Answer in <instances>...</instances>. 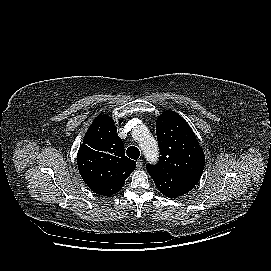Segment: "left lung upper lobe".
<instances>
[{
  "label": "left lung upper lobe",
  "instance_id": "obj_1",
  "mask_svg": "<svg viewBox=\"0 0 271 271\" xmlns=\"http://www.w3.org/2000/svg\"><path fill=\"white\" fill-rule=\"evenodd\" d=\"M156 133L161 156L156 165L146 168L159 191L172 198L177 179L197 184L205 156L192 129L175 111H164L158 117Z\"/></svg>",
  "mask_w": 271,
  "mask_h": 271
}]
</instances>
